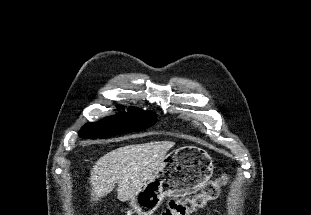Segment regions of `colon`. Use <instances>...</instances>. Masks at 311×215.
<instances>
[{"instance_id":"colon-1","label":"colon","mask_w":311,"mask_h":215,"mask_svg":"<svg viewBox=\"0 0 311 215\" xmlns=\"http://www.w3.org/2000/svg\"><path fill=\"white\" fill-rule=\"evenodd\" d=\"M228 177L221 176L216 181L208 184L205 189L191 197L172 199L167 203L161 215H192L214 201L221 189L227 184Z\"/></svg>"}]
</instances>
